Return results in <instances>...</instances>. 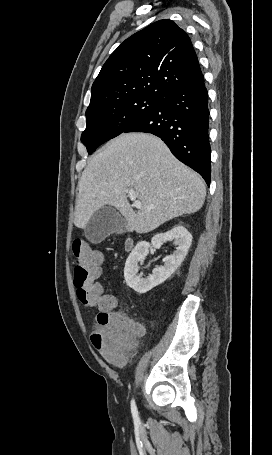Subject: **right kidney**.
I'll return each mask as SVG.
<instances>
[{"instance_id": "right-kidney-1", "label": "right kidney", "mask_w": 272, "mask_h": 455, "mask_svg": "<svg viewBox=\"0 0 272 455\" xmlns=\"http://www.w3.org/2000/svg\"><path fill=\"white\" fill-rule=\"evenodd\" d=\"M174 240L176 250L172 255L163 259L164 265L153 270L152 275L143 278V273L138 274V263H142L148 253L150 246L160 248L166 241ZM192 243V235L182 225L175 226L165 233L155 235L151 244L146 241L137 243L133 251L128 256L124 277L126 284L138 293H146L152 288L162 284L167 280L185 259Z\"/></svg>"}]
</instances>
